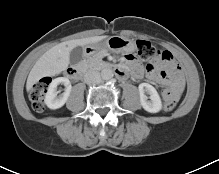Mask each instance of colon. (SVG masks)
Masks as SVG:
<instances>
[{
	"label": "colon",
	"instance_id": "colon-1",
	"mask_svg": "<svg viewBox=\"0 0 219 174\" xmlns=\"http://www.w3.org/2000/svg\"><path fill=\"white\" fill-rule=\"evenodd\" d=\"M157 55V51L154 46L145 40H138L137 41V49H136V56L137 59L140 61H147ZM52 78L51 77H44L36 82L31 91H30V101L34 110L41 112L44 110V96L46 91L51 84ZM175 108L174 101H165L163 104V109L166 112H170Z\"/></svg>",
	"mask_w": 219,
	"mask_h": 174
}]
</instances>
